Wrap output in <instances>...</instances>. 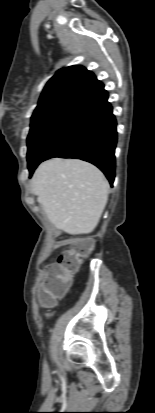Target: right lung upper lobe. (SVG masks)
Segmentation results:
<instances>
[{
	"mask_svg": "<svg viewBox=\"0 0 155 413\" xmlns=\"http://www.w3.org/2000/svg\"><path fill=\"white\" fill-rule=\"evenodd\" d=\"M103 88L86 68L79 65L63 68L45 85L32 120L63 106L80 105Z\"/></svg>",
	"mask_w": 155,
	"mask_h": 413,
	"instance_id": "obj_1",
	"label": "right lung upper lobe"
}]
</instances>
